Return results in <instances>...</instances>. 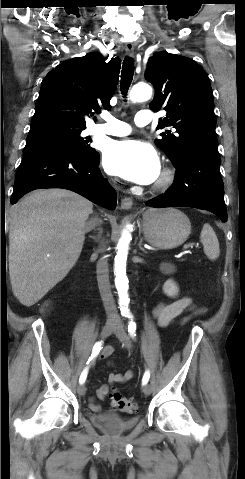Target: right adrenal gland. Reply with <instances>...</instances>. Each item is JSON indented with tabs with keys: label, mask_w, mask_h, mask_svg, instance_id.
I'll return each instance as SVG.
<instances>
[{
	"label": "right adrenal gland",
	"mask_w": 245,
	"mask_h": 479,
	"mask_svg": "<svg viewBox=\"0 0 245 479\" xmlns=\"http://www.w3.org/2000/svg\"><path fill=\"white\" fill-rule=\"evenodd\" d=\"M99 231H100V232H99V235H97V236H92V235H90L89 238H91V239H93L95 242H97V241L99 240V238H100V234L102 233V230H101V229H99Z\"/></svg>",
	"instance_id": "2a0ac1e0"
}]
</instances>
